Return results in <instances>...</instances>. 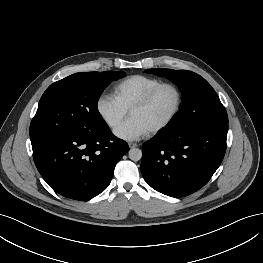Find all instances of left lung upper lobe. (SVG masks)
Segmentation results:
<instances>
[{
	"instance_id": "obj_1",
	"label": "left lung upper lobe",
	"mask_w": 263,
	"mask_h": 263,
	"mask_svg": "<svg viewBox=\"0 0 263 263\" xmlns=\"http://www.w3.org/2000/svg\"><path fill=\"white\" fill-rule=\"evenodd\" d=\"M175 82L182 91L183 102L166 128L189 133L204 127L228 124L227 112L217 93L200 75L187 70L148 69Z\"/></svg>"
}]
</instances>
